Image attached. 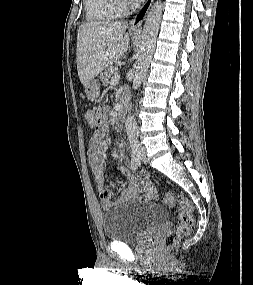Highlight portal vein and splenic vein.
Instances as JSON below:
<instances>
[{"instance_id":"18ae733b","label":"portal vein and splenic vein","mask_w":253,"mask_h":285,"mask_svg":"<svg viewBox=\"0 0 253 285\" xmlns=\"http://www.w3.org/2000/svg\"><path fill=\"white\" fill-rule=\"evenodd\" d=\"M119 79H120V75L119 74L114 75L112 77V79L110 80V84L114 85V84L118 83Z\"/></svg>"}]
</instances>
